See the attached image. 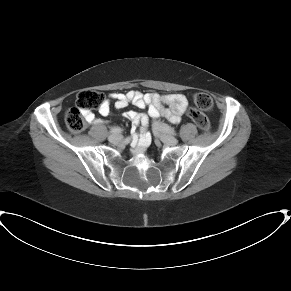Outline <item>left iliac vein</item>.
I'll return each mask as SVG.
<instances>
[{"instance_id":"obj_1","label":"left iliac vein","mask_w":291,"mask_h":291,"mask_svg":"<svg viewBox=\"0 0 291 291\" xmlns=\"http://www.w3.org/2000/svg\"><path fill=\"white\" fill-rule=\"evenodd\" d=\"M154 131L160 135V139L167 145H176L178 143V140L170 135L167 134L163 129V124H156L154 126Z\"/></svg>"}]
</instances>
